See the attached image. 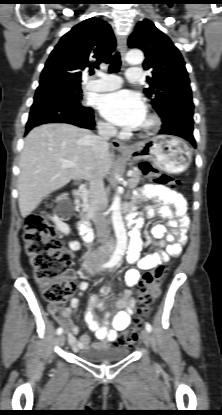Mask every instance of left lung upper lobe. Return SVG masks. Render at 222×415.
<instances>
[{"label": "left lung upper lobe", "instance_id": "obj_1", "mask_svg": "<svg viewBox=\"0 0 222 415\" xmlns=\"http://www.w3.org/2000/svg\"><path fill=\"white\" fill-rule=\"evenodd\" d=\"M128 45L145 53L143 67L150 70L152 75L147 76L150 86L144 92L151 99L153 108L162 119L171 115L180 118L183 113L181 102L185 98H192V92L185 62L179 50L149 20L136 25Z\"/></svg>", "mask_w": 222, "mask_h": 415}]
</instances>
